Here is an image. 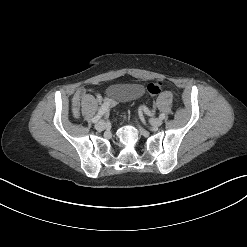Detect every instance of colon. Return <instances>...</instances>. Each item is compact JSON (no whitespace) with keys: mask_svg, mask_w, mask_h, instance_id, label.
<instances>
[{"mask_svg":"<svg viewBox=\"0 0 247 247\" xmlns=\"http://www.w3.org/2000/svg\"><path fill=\"white\" fill-rule=\"evenodd\" d=\"M147 90L151 95L155 96L161 92L162 83L161 82H151L148 84Z\"/></svg>","mask_w":247,"mask_h":247,"instance_id":"1","label":"colon"}]
</instances>
